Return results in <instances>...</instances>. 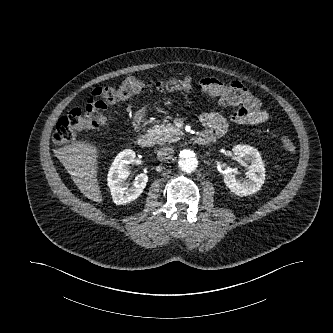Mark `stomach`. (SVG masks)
Returning a JSON list of instances; mask_svg holds the SVG:
<instances>
[{
    "mask_svg": "<svg viewBox=\"0 0 333 333\" xmlns=\"http://www.w3.org/2000/svg\"><path fill=\"white\" fill-rule=\"evenodd\" d=\"M143 113H144V109L140 110L136 115V119L143 117Z\"/></svg>",
    "mask_w": 333,
    "mask_h": 333,
    "instance_id": "0dacf381",
    "label": "stomach"
}]
</instances>
